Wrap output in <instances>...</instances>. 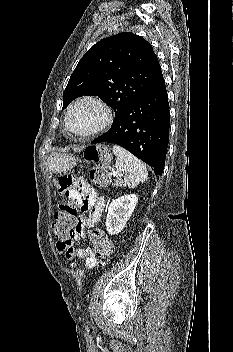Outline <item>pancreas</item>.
I'll return each instance as SVG.
<instances>
[{
  "instance_id": "1",
  "label": "pancreas",
  "mask_w": 233,
  "mask_h": 352,
  "mask_svg": "<svg viewBox=\"0 0 233 352\" xmlns=\"http://www.w3.org/2000/svg\"><path fill=\"white\" fill-rule=\"evenodd\" d=\"M113 186L115 187H121L122 186V181L121 179H116L115 182L113 183Z\"/></svg>"
}]
</instances>
